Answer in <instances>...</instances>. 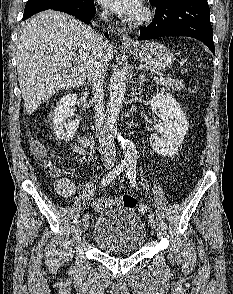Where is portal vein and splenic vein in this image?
Segmentation results:
<instances>
[{
    "instance_id": "obj_1",
    "label": "portal vein and splenic vein",
    "mask_w": 233,
    "mask_h": 294,
    "mask_svg": "<svg viewBox=\"0 0 233 294\" xmlns=\"http://www.w3.org/2000/svg\"><path fill=\"white\" fill-rule=\"evenodd\" d=\"M166 79V77L165 76H160V77H157V78H155V80L156 81H164Z\"/></svg>"
}]
</instances>
